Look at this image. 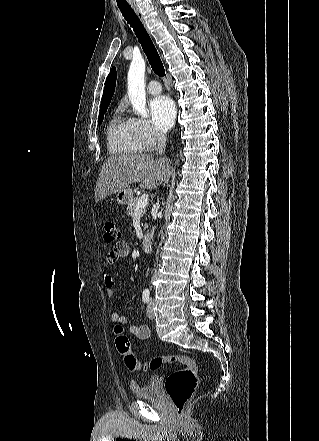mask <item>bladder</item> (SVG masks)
Returning <instances> with one entry per match:
<instances>
[{
  "label": "bladder",
  "instance_id": "bladder-1",
  "mask_svg": "<svg viewBox=\"0 0 319 441\" xmlns=\"http://www.w3.org/2000/svg\"><path fill=\"white\" fill-rule=\"evenodd\" d=\"M131 390L135 397L141 399L154 398L158 395V378L152 376L146 383L131 382Z\"/></svg>",
  "mask_w": 319,
  "mask_h": 441
}]
</instances>
